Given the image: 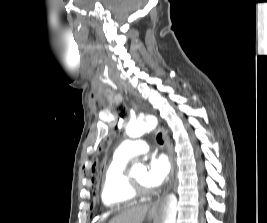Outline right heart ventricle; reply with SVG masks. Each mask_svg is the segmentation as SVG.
Returning a JSON list of instances; mask_svg holds the SVG:
<instances>
[{
  "mask_svg": "<svg viewBox=\"0 0 267 223\" xmlns=\"http://www.w3.org/2000/svg\"><path fill=\"white\" fill-rule=\"evenodd\" d=\"M128 162L129 158H122L115 154L105 169L102 180L101 201L109 210H119L134 200L127 183Z\"/></svg>",
  "mask_w": 267,
  "mask_h": 223,
  "instance_id": "e07e8e85",
  "label": "right heart ventricle"
}]
</instances>
